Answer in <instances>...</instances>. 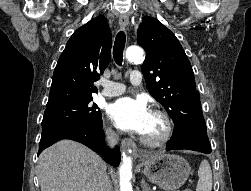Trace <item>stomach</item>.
I'll list each match as a JSON object with an SVG mask.
<instances>
[{
    "instance_id": "stomach-1",
    "label": "stomach",
    "mask_w": 251,
    "mask_h": 191,
    "mask_svg": "<svg viewBox=\"0 0 251 191\" xmlns=\"http://www.w3.org/2000/svg\"><path fill=\"white\" fill-rule=\"evenodd\" d=\"M144 173L152 183H157L163 189H178L188 179L190 165L181 155L174 153H156V155H143Z\"/></svg>"
}]
</instances>
